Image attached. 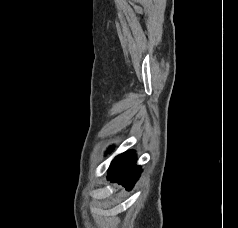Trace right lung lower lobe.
I'll return each instance as SVG.
<instances>
[{"instance_id":"right-lung-lower-lobe-1","label":"right lung lower lobe","mask_w":238,"mask_h":228,"mask_svg":"<svg viewBox=\"0 0 238 228\" xmlns=\"http://www.w3.org/2000/svg\"><path fill=\"white\" fill-rule=\"evenodd\" d=\"M136 154L134 151H127L114 158L109 168L108 180L118 182L131 189L141 173L139 166L134 165Z\"/></svg>"}]
</instances>
